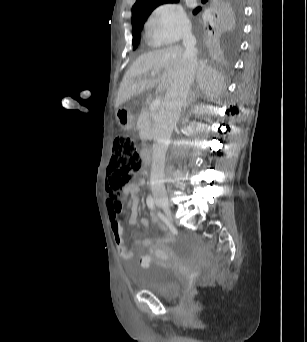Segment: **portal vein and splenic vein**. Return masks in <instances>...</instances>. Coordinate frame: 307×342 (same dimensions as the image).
I'll return each instance as SVG.
<instances>
[{
  "instance_id": "1",
  "label": "portal vein and splenic vein",
  "mask_w": 307,
  "mask_h": 342,
  "mask_svg": "<svg viewBox=\"0 0 307 342\" xmlns=\"http://www.w3.org/2000/svg\"><path fill=\"white\" fill-rule=\"evenodd\" d=\"M151 76H155V74L151 73ZM162 97L159 95L157 98L153 100V102H149L148 107L149 109H160L161 104H160V99Z\"/></svg>"
}]
</instances>
